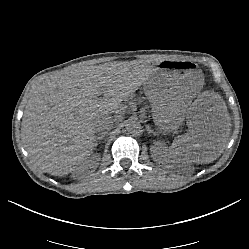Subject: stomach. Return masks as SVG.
I'll return each mask as SVG.
<instances>
[{
	"label": "stomach",
	"mask_w": 249,
	"mask_h": 249,
	"mask_svg": "<svg viewBox=\"0 0 249 249\" xmlns=\"http://www.w3.org/2000/svg\"><path fill=\"white\" fill-rule=\"evenodd\" d=\"M203 86V72L193 63L164 60L153 70L143 90L156 121L162 126L173 127L181 122Z\"/></svg>",
	"instance_id": "stomach-1"
}]
</instances>
